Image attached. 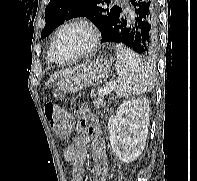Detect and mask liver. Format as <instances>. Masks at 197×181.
I'll return each mask as SVG.
<instances>
[{"mask_svg":"<svg viewBox=\"0 0 197 181\" xmlns=\"http://www.w3.org/2000/svg\"><path fill=\"white\" fill-rule=\"evenodd\" d=\"M80 67L82 66H78V67H75V68H69V69H65V70H61V71H58L56 73H54L53 75H51L49 81L47 82V84H49L50 82H53L57 79H60L62 78L63 76L73 72V71H76L77 69H79Z\"/></svg>","mask_w":197,"mask_h":181,"instance_id":"obj_1","label":"liver"}]
</instances>
